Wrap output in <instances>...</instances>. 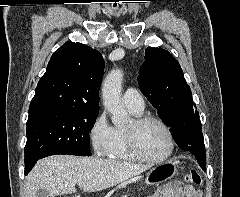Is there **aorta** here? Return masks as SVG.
Listing matches in <instances>:
<instances>
[{
    "mask_svg": "<svg viewBox=\"0 0 240 197\" xmlns=\"http://www.w3.org/2000/svg\"><path fill=\"white\" fill-rule=\"evenodd\" d=\"M123 73L113 69L106 76L102 86L103 104L111 114V121L116 126L126 125L130 117L121 101Z\"/></svg>",
    "mask_w": 240,
    "mask_h": 197,
    "instance_id": "aorta-1",
    "label": "aorta"
}]
</instances>
